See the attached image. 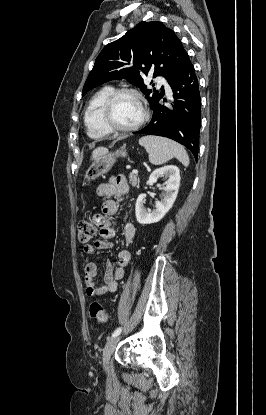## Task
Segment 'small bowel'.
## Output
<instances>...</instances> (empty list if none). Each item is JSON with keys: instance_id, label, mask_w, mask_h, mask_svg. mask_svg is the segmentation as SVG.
I'll return each mask as SVG.
<instances>
[{"instance_id": "small-bowel-1", "label": "small bowel", "mask_w": 266, "mask_h": 415, "mask_svg": "<svg viewBox=\"0 0 266 415\" xmlns=\"http://www.w3.org/2000/svg\"><path fill=\"white\" fill-rule=\"evenodd\" d=\"M129 192V185L124 175H117L108 182L100 184L96 189L99 197H113L106 200L102 205V213L93 216V222L99 229L102 239L97 240L94 244H87L83 248L86 255H91L95 250L110 249L113 244L109 241L114 238L116 231L112 225L111 218L117 215L119 211V201H123ZM135 227L132 223L124 224V235L126 245L132 242L135 236ZM130 261V252L125 247L118 253V266L114 267L110 261L105 264V274L103 283L99 286L95 284L94 278L97 275V265L94 262H88L84 266V283L85 291L89 297H100L108 293L117 291L118 282L124 277V269Z\"/></svg>"}]
</instances>
